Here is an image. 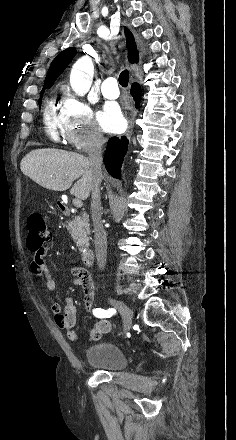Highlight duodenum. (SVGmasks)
I'll use <instances>...</instances> for the list:
<instances>
[{
    "label": "duodenum",
    "instance_id": "duodenum-1",
    "mask_svg": "<svg viewBox=\"0 0 236 440\" xmlns=\"http://www.w3.org/2000/svg\"><path fill=\"white\" fill-rule=\"evenodd\" d=\"M58 206H59L60 210L62 211V213H64V214L69 213V209H68L67 205L64 203V201H62V200L58 201ZM81 261L86 268H91L94 264L93 250L92 249L85 250L81 256Z\"/></svg>",
    "mask_w": 236,
    "mask_h": 440
}]
</instances>
